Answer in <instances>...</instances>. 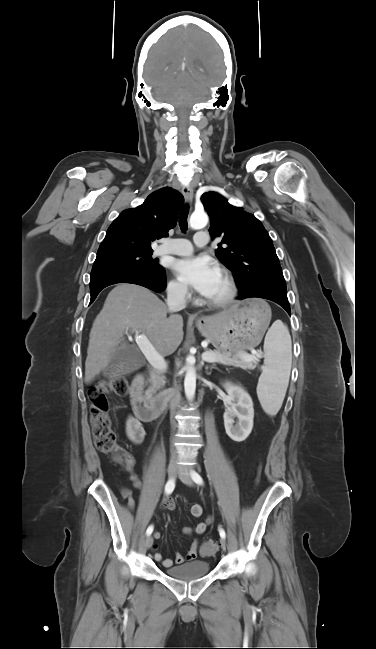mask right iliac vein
Wrapping results in <instances>:
<instances>
[{"label": "right iliac vein", "mask_w": 376, "mask_h": 649, "mask_svg": "<svg viewBox=\"0 0 376 649\" xmlns=\"http://www.w3.org/2000/svg\"><path fill=\"white\" fill-rule=\"evenodd\" d=\"M176 472H177L176 463L175 462L170 463L169 466H168V475H169V477L173 478L175 476ZM152 544H153V537L149 535L146 538L145 546H146L147 549H149L152 546Z\"/></svg>", "instance_id": "right-iliac-vein-1"}]
</instances>
